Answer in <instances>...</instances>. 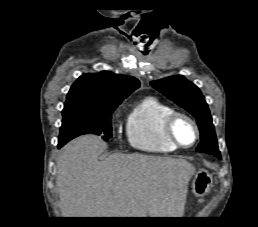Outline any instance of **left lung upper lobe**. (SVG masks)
Wrapping results in <instances>:
<instances>
[{
	"mask_svg": "<svg viewBox=\"0 0 258 227\" xmlns=\"http://www.w3.org/2000/svg\"><path fill=\"white\" fill-rule=\"evenodd\" d=\"M151 85L196 118L201 135L196 150L221 159L210 111L199 88L180 75L152 81Z\"/></svg>",
	"mask_w": 258,
	"mask_h": 227,
	"instance_id": "left-lung-upper-lobe-1",
	"label": "left lung upper lobe"
}]
</instances>
